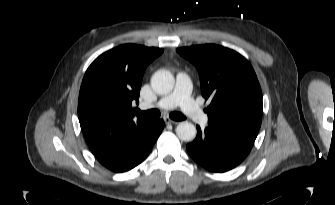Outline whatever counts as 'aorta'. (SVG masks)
<instances>
[{
    "instance_id": "762f6f07",
    "label": "aorta",
    "mask_w": 335,
    "mask_h": 205,
    "mask_svg": "<svg viewBox=\"0 0 335 205\" xmlns=\"http://www.w3.org/2000/svg\"><path fill=\"white\" fill-rule=\"evenodd\" d=\"M151 86L158 94H168L174 87V77L167 70H158L151 78ZM196 133V127L190 122H181L176 127V134L182 141L194 140Z\"/></svg>"
}]
</instances>
